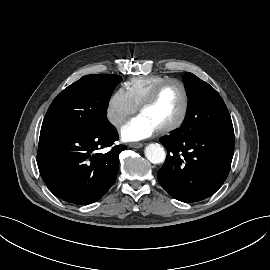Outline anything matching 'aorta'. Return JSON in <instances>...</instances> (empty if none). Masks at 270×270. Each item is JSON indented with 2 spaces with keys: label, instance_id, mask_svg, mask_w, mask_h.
<instances>
[{
  "label": "aorta",
  "instance_id": "aorta-1",
  "mask_svg": "<svg viewBox=\"0 0 270 270\" xmlns=\"http://www.w3.org/2000/svg\"><path fill=\"white\" fill-rule=\"evenodd\" d=\"M146 158L153 164H160L165 161L166 153L159 144H149L145 148Z\"/></svg>",
  "mask_w": 270,
  "mask_h": 270
}]
</instances>
